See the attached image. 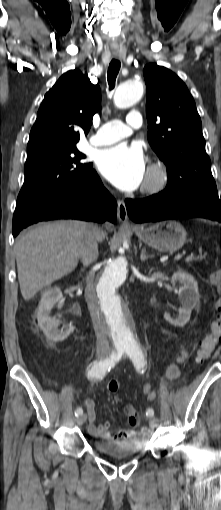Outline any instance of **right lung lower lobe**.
Masks as SVG:
<instances>
[{
	"label": "right lung lower lobe",
	"instance_id": "right-lung-lower-lobe-1",
	"mask_svg": "<svg viewBox=\"0 0 221 510\" xmlns=\"http://www.w3.org/2000/svg\"><path fill=\"white\" fill-rule=\"evenodd\" d=\"M117 203L104 188L92 168L85 179L40 203L22 220L13 216V236L39 221L54 219H80L104 222L116 221Z\"/></svg>",
	"mask_w": 221,
	"mask_h": 510
}]
</instances>
